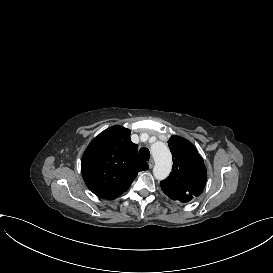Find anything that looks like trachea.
<instances>
[{
	"instance_id": "1",
	"label": "trachea",
	"mask_w": 273,
	"mask_h": 273,
	"mask_svg": "<svg viewBox=\"0 0 273 273\" xmlns=\"http://www.w3.org/2000/svg\"><path fill=\"white\" fill-rule=\"evenodd\" d=\"M139 156L142 160L144 161H148L149 158H150V152H149V149L143 147L140 149L139 151Z\"/></svg>"
}]
</instances>
